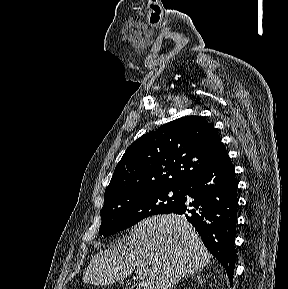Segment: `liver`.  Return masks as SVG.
Returning <instances> with one entry per match:
<instances>
[{
  "label": "liver",
  "instance_id": "liver-1",
  "mask_svg": "<svg viewBox=\"0 0 288 289\" xmlns=\"http://www.w3.org/2000/svg\"><path fill=\"white\" fill-rule=\"evenodd\" d=\"M210 259L199 235L183 216H152L134 226L127 242L93 256L83 282L110 285L135 270L142 274L137 289H172L184 276L206 267Z\"/></svg>",
  "mask_w": 288,
  "mask_h": 289
}]
</instances>
